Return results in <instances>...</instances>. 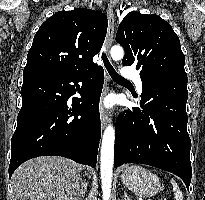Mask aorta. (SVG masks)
<instances>
[{
  "label": "aorta",
  "mask_w": 205,
  "mask_h": 200,
  "mask_svg": "<svg viewBox=\"0 0 205 200\" xmlns=\"http://www.w3.org/2000/svg\"><path fill=\"white\" fill-rule=\"evenodd\" d=\"M110 54L113 60L119 61L124 57V50L121 46L116 45L111 48ZM114 140L115 129L112 125H108L103 134L100 156L103 200H110L111 195L114 162Z\"/></svg>",
  "instance_id": "1"
}]
</instances>
